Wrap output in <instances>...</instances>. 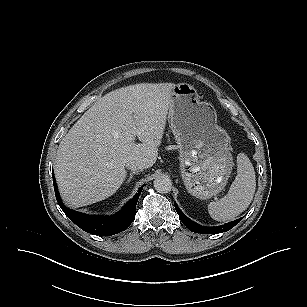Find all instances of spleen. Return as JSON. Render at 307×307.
<instances>
[{"label":"spleen","instance_id":"spleen-1","mask_svg":"<svg viewBox=\"0 0 307 307\" xmlns=\"http://www.w3.org/2000/svg\"><path fill=\"white\" fill-rule=\"evenodd\" d=\"M256 188L255 171L244 153L237 156V176L228 194L218 201L210 202L208 212L217 221L235 218L250 205Z\"/></svg>","mask_w":307,"mask_h":307}]
</instances>
